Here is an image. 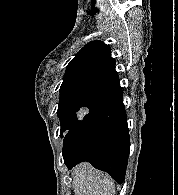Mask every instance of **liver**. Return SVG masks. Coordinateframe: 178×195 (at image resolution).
<instances>
[{"label": "liver", "instance_id": "obj_1", "mask_svg": "<svg viewBox=\"0 0 178 195\" xmlns=\"http://www.w3.org/2000/svg\"><path fill=\"white\" fill-rule=\"evenodd\" d=\"M72 177L75 195H115V183L110 176L89 163L78 165Z\"/></svg>", "mask_w": 178, "mask_h": 195}]
</instances>
